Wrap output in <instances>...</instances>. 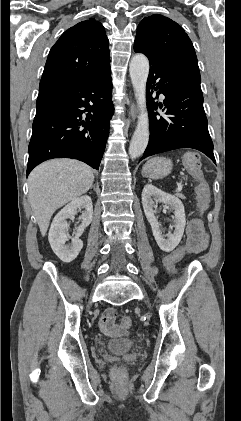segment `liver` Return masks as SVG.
<instances>
[{
    "label": "liver",
    "mask_w": 241,
    "mask_h": 421,
    "mask_svg": "<svg viewBox=\"0 0 241 421\" xmlns=\"http://www.w3.org/2000/svg\"><path fill=\"white\" fill-rule=\"evenodd\" d=\"M91 168L77 160L54 159L37 166L29 175V202L40 232L45 236L54 212L92 186Z\"/></svg>",
    "instance_id": "obj_1"
}]
</instances>
